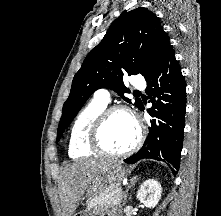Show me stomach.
<instances>
[{
	"label": "stomach",
	"instance_id": "1",
	"mask_svg": "<svg viewBox=\"0 0 221 216\" xmlns=\"http://www.w3.org/2000/svg\"><path fill=\"white\" fill-rule=\"evenodd\" d=\"M130 174V169L124 167L122 163H113L107 167L104 172L96 178L87 188L86 197L87 205L92 208L90 201L103 193L107 187V184H118L123 178L127 177ZM103 182V183H102ZM86 210L75 214L74 216H93L94 212L91 210Z\"/></svg>",
	"mask_w": 221,
	"mask_h": 216
}]
</instances>
